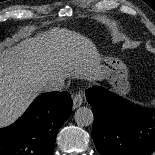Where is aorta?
I'll return each mask as SVG.
<instances>
[{
	"instance_id": "762f6f07",
	"label": "aorta",
	"mask_w": 155,
	"mask_h": 155,
	"mask_svg": "<svg viewBox=\"0 0 155 155\" xmlns=\"http://www.w3.org/2000/svg\"><path fill=\"white\" fill-rule=\"evenodd\" d=\"M75 121L79 126H89L94 121L92 110L88 107H80L75 112Z\"/></svg>"
}]
</instances>
